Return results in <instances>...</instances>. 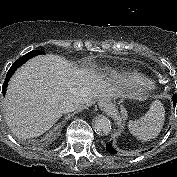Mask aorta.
Masks as SVG:
<instances>
[{"instance_id": "762f6f07", "label": "aorta", "mask_w": 177, "mask_h": 177, "mask_svg": "<svg viewBox=\"0 0 177 177\" xmlns=\"http://www.w3.org/2000/svg\"><path fill=\"white\" fill-rule=\"evenodd\" d=\"M93 129L99 135H107L111 131V122L105 116H98L93 121Z\"/></svg>"}]
</instances>
